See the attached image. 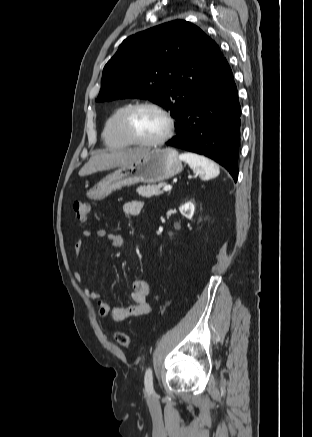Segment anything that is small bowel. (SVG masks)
<instances>
[{
    "mask_svg": "<svg viewBox=\"0 0 312 437\" xmlns=\"http://www.w3.org/2000/svg\"><path fill=\"white\" fill-rule=\"evenodd\" d=\"M143 208V202L140 200H131L125 203L123 211L127 215H138ZM84 236L90 238L93 236L91 231H85ZM95 236L99 238H105L109 241L112 247L118 248L123 244V238L121 235L110 232L106 229H99L96 231ZM83 247V241L80 239L75 244V251L80 253ZM75 278L78 282H81V275L79 272H75ZM132 304L123 306H112L108 304L100 292L85 288L87 297L95 301L97 304L98 315L102 318H110L114 321H123L130 317L140 316L148 314L151 311V306L147 302L146 298L149 295L148 282L142 278H136L132 282Z\"/></svg>",
    "mask_w": 312,
    "mask_h": 437,
    "instance_id": "1",
    "label": "small bowel"
}]
</instances>
